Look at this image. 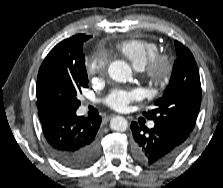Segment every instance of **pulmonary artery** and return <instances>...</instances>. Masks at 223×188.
Masks as SVG:
<instances>
[{
	"mask_svg": "<svg viewBox=\"0 0 223 188\" xmlns=\"http://www.w3.org/2000/svg\"><path fill=\"white\" fill-rule=\"evenodd\" d=\"M149 127H150V128L154 127V123H153V122H150V123H149Z\"/></svg>",
	"mask_w": 223,
	"mask_h": 188,
	"instance_id": "1",
	"label": "pulmonary artery"
}]
</instances>
